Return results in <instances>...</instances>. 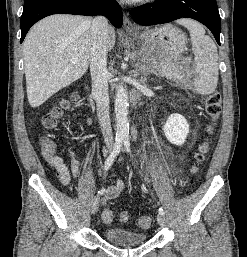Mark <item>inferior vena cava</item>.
Masks as SVG:
<instances>
[{
  "label": "inferior vena cava",
  "instance_id": "1",
  "mask_svg": "<svg viewBox=\"0 0 247 257\" xmlns=\"http://www.w3.org/2000/svg\"><path fill=\"white\" fill-rule=\"evenodd\" d=\"M108 20L97 16L92 21V58L90 72L92 78V95L96 101L97 116L107 147L113 144V134L109 116V94L107 70Z\"/></svg>",
  "mask_w": 247,
  "mask_h": 257
}]
</instances>
